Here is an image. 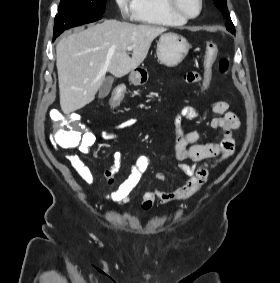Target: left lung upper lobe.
Returning <instances> with one entry per match:
<instances>
[{
	"mask_svg": "<svg viewBox=\"0 0 280 283\" xmlns=\"http://www.w3.org/2000/svg\"><path fill=\"white\" fill-rule=\"evenodd\" d=\"M215 6L223 13V16L227 19L226 21V28L231 33H235L234 25L230 19V15L227 9L226 0H213Z\"/></svg>",
	"mask_w": 280,
	"mask_h": 283,
	"instance_id": "1",
	"label": "left lung upper lobe"
}]
</instances>
